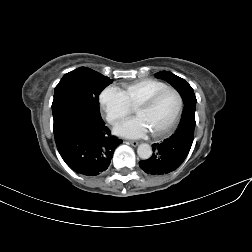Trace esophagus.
<instances>
[{
    "label": "esophagus",
    "instance_id": "34e87169",
    "mask_svg": "<svg viewBox=\"0 0 252 252\" xmlns=\"http://www.w3.org/2000/svg\"><path fill=\"white\" fill-rule=\"evenodd\" d=\"M128 144L136 147L139 144V142L138 141H129Z\"/></svg>",
    "mask_w": 252,
    "mask_h": 252
}]
</instances>
